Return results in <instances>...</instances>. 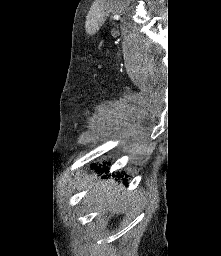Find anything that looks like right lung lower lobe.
<instances>
[{"mask_svg":"<svg viewBox=\"0 0 221 256\" xmlns=\"http://www.w3.org/2000/svg\"><path fill=\"white\" fill-rule=\"evenodd\" d=\"M93 168H95L96 167V165H94V166H92ZM96 169V168H95ZM103 169L105 170L106 168H105V166H103ZM104 172V171H103ZM117 176H120V177H123V175H120L119 173L117 174ZM127 177V176H126ZM126 182V181H125Z\"/></svg>","mask_w":221,"mask_h":256,"instance_id":"1","label":"right lung lower lobe"}]
</instances>
